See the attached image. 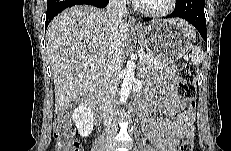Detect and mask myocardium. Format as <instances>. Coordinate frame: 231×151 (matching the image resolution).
Returning <instances> with one entry per match:
<instances>
[{
    "mask_svg": "<svg viewBox=\"0 0 231 151\" xmlns=\"http://www.w3.org/2000/svg\"><path fill=\"white\" fill-rule=\"evenodd\" d=\"M176 0H167L166 5L160 9H152L147 7L145 4H137V10L146 17L159 18L170 14L174 8Z\"/></svg>",
    "mask_w": 231,
    "mask_h": 151,
    "instance_id": "myocardium-1",
    "label": "myocardium"
}]
</instances>
